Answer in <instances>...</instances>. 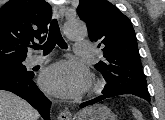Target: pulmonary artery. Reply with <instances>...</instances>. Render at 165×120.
<instances>
[{
	"label": "pulmonary artery",
	"mask_w": 165,
	"mask_h": 120,
	"mask_svg": "<svg viewBox=\"0 0 165 120\" xmlns=\"http://www.w3.org/2000/svg\"><path fill=\"white\" fill-rule=\"evenodd\" d=\"M92 51V46L89 42H78L75 45V53L79 56H88ZM48 60V56L34 55L28 58L27 64L34 66Z\"/></svg>",
	"instance_id": "pulmonary-artery-1"
}]
</instances>
